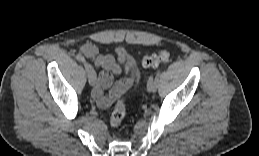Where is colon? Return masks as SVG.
I'll return each mask as SVG.
<instances>
[{
  "label": "colon",
  "mask_w": 259,
  "mask_h": 156,
  "mask_svg": "<svg viewBox=\"0 0 259 156\" xmlns=\"http://www.w3.org/2000/svg\"><path fill=\"white\" fill-rule=\"evenodd\" d=\"M169 59V53L165 50L159 52L158 54L146 55L142 59V64L144 67H157L160 63L166 62ZM125 116V102L122 98L118 100L115 108L110 117V123L114 127L121 125Z\"/></svg>",
  "instance_id": "1"
}]
</instances>
